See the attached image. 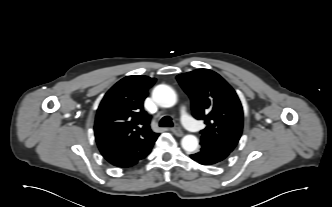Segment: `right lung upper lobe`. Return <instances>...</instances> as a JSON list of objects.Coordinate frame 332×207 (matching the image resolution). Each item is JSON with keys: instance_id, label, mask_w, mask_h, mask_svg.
<instances>
[{"instance_id": "right-lung-upper-lobe-1", "label": "right lung upper lobe", "mask_w": 332, "mask_h": 207, "mask_svg": "<svg viewBox=\"0 0 332 207\" xmlns=\"http://www.w3.org/2000/svg\"><path fill=\"white\" fill-rule=\"evenodd\" d=\"M148 76H127L104 96L95 119V139L104 158L114 166L137 164L151 151L159 136L150 129L151 117L143 102L155 83Z\"/></svg>"}]
</instances>
